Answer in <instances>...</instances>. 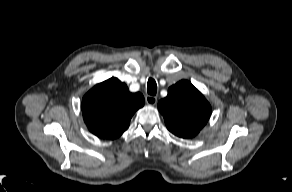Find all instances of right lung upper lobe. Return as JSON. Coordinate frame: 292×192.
I'll return each mask as SVG.
<instances>
[{
  "label": "right lung upper lobe",
  "mask_w": 292,
  "mask_h": 192,
  "mask_svg": "<svg viewBox=\"0 0 292 192\" xmlns=\"http://www.w3.org/2000/svg\"><path fill=\"white\" fill-rule=\"evenodd\" d=\"M144 102L141 93H130L125 83L113 77L87 92L81 109L84 121L93 134L115 139L129 127L131 117Z\"/></svg>",
  "instance_id": "obj_1"
}]
</instances>
